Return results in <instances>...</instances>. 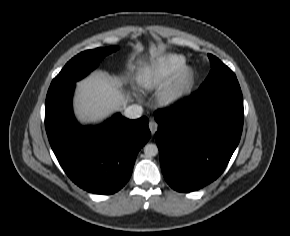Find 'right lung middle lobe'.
<instances>
[{
	"mask_svg": "<svg viewBox=\"0 0 290 236\" xmlns=\"http://www.w3.org/2000/svg\"><path fill=\"white\" fill-rule=\"evenodd\" d=\"M117 49L118 47L113 46L81 52L67 62L61 72L53 79L51 85L65 84L80 80L95 69L107 54Z\"/></svg>",
	"mask_w": 290,
	"mask_h": 236,
	"instance_id": "right-lung-middle-lobe-1",
	"label": "right lung middle lobe"
}]
</instances>
